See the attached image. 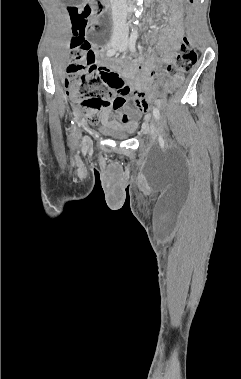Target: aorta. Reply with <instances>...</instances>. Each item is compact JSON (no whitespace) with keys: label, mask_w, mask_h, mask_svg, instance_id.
<instances>
[{"label":"aorta","mask_w":241,"mask_h":379,"mask_svg":"<svg viewBox=\"0 0 241 379\" xmlns=\"http://www.w3.org/2000/svg\"><path fill=\"white\" fill-rule=\"evenodd\" d=\"M137 2V9H136V15H139L140 12H141V3H142V0H136Z\"/></svg>","instance_id":"1"}]
</instances>
